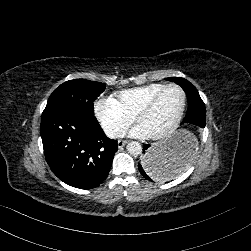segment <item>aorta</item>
Masks as SVG:
<instances>
[{
    "mask_svg": "<svg viewBox=\"0 0 251 251\" xmlns=\"http://www.w3.org/2000/svg\"><path fill=\"white\" fill-rule=\"evenodd\" d=\"M126 149L131 155H139L142 152V146L137 141L128 143Z\"/></svg>",
    "mask_w": 251,
    "mask_h": 251,
    "instance_id": "aorta-1",
    "label": "aorta"
}]
</instances>
